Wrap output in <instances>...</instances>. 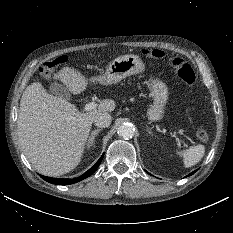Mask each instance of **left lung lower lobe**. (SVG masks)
<instances>
[{
	"instance_id": "obj_1",
	"label": "left lung lower lobe",
	"mask_w": 233,
	"mask_h": 233,
	"mask_svg": "<svg viewBox=\"0 0 233 233\" xmlns=\"http://www.w3.org/2000/svg\"><path fill=\"white\" fill-rule=\"evenodd\" d=\"M196 171L192 172L190 175H192L193 173H195Z\"/></svg>"
}]
</instances>
